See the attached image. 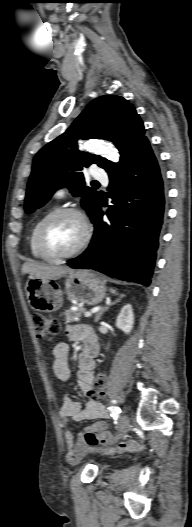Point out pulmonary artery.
Segmentation results:
<instances>
[{
	"label": "pulmonary artery",
	"instance_id": "obj_1",
	"mask_svg": "<svg viewBox=\"0 0 192 527\" xmlns=\"http://www.w3.org/2000/svg\"><path fill=\"white\" fill-rule=\"evenodd\" d=\"M92 177L95 180H98V181L103 182V183H106L108 181L107 174L102 169H99V168H95L93 170ZM64 196H65V189L64 188H60V189H58L55 192V197L58 198V199H61Z\"/></svg>",
	"mask_w": 192,
	"mask_h": 527
}]
</instances>
